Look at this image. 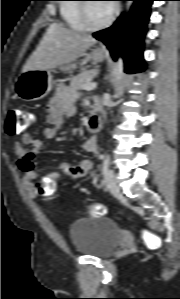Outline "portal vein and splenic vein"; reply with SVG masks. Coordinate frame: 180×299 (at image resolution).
I'll use <instances>...</instances> for the list:
<instances>
[{"mask_svg":"<svg viewBox=\"0 0 180 299\" xmlns=\"http://www.w3.org/2000/svg\"><path fill=\"white\" fill-rule=\"evenodd\" d=\"M97 86V83L93 82V83H89L87 85L84 86V89L87 91L93 90L95 89Z\"/></svg>","mask_w":180,"mask_h":299,"instance_id":"18ae733b","label":"portal vein and splenic vein"}]
</instances>
